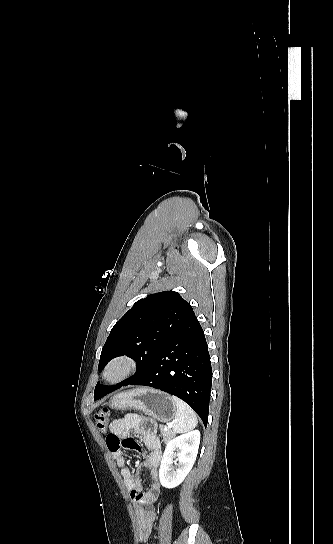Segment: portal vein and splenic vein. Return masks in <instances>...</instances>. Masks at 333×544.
Listing matches in <instances>:
<instances>
[{
	"mask_svg": "<svg viewBox=\"0 0 333 544\" xmlns=\"http://www.w3.org/2000/svg\"><path fill=\"white\" fill-rule=\"evenodd\" d=\"M172 426H173V423L170 422V423H168V426L164 428V430L167 431V430L170 429Z\"/></svg>",
	"mask_w": 333,
	"mask_h": 544,
	"instance_id": "1",
	"label": "portal vein and splenic vein"
}]
</instances>
